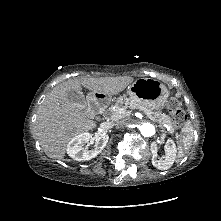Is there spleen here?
I'll use <instances>...</instances> for the list:
<instances>
[{
    "mask_svg": "<svg viewBox=\"0 0 221 221\" xmlns=\"http://www.w3.org/2000/svg\"><path fill=\"white\" fill-rule=\"evenodd\" d=\"M193 140V128L189 125H186L182 129V136L178 141V156L183 158L189 152V149L192 145Z\"/></svg>",
    "mask_w": 221,
    "mask_h": 221,
    "instance_id": "1",
    "label": "spleen"
}]
</instances>
